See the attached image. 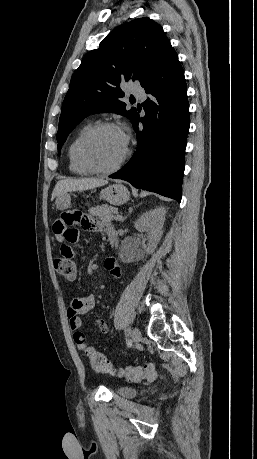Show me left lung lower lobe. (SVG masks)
I'll return each instance as SVG.
<instances>
[{"instance_id":"0a47b994","label":"left lung lower lobe","mask_w":257,"mask_h":459,"mask_svg":"<svg viewBox=\"0 0 257 459\" xmlns=\"http://www.w3.org/2000/svg\"><path fill=\"white\" fill-rule=\"evenodd\" d=\"M149 94L143 103L146 115L132 123L137 150L130 161L110 178L181 201L184 152L189 131V104L184 71L174 49L143 86ZM158 110L160 124L155 120ZM143 129H138V123Z\"/></svg>"}]
</instances>
